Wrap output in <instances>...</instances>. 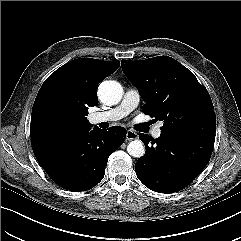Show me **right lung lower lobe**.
<instances>
[{
  "mask_svg": "<svg viewBox=\"0 0 241 241\" xmlns=\"http://www.w3.org/2000/svg\"><path fill=\"white\" fill-rule=\"evenodd\" d=\"M126 129L95 127L55 140L33 144V152L45 172L59 186L75 192L93 188L104 177L110 154L124 142Z\"/></svg>",
  "mask_w": 241,
  "mask_h": 241,
  "instance_id": "98d812e1",
  "label": "right lung lower lobe"
}]
</instances>
